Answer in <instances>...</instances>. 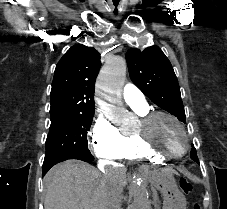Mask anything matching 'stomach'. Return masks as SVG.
<instances>
[{"label":"stomach","mask_w":227,"mask_h":209,"mask_svg":"<svg viewBox=\"0 0 227 209\" xmlns=\"http://www.w3.org/2000/svg\"><path fill=\"white\" fill-rule=\"evenodd\" d=\"M151 184L163 195V209H186L185 196L180 192L176 180L167 171H153L149 176Z\"/></svg>","instance_id":"1"}]
</instances>
